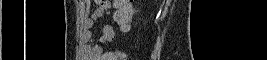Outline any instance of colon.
Returning <instances> with one entry per match:
<instances>
[{"instance_id":"colon-1","label":"colon","mask_w":267,"mask_h":60,"mask_svg":"<svg viewBox=\"0 0 267 60\" xmlns=\"http://www.w3.org/2000/svg\"><path fill=\"white\" fill-rule=\"evenodd\" d=\"M132 0H116L114 1V20L120 26L121 31L126 32L132 26V17L136 8ZM118 59H125L122 53L116 55Z\"/></svg>"}]
</instances>
